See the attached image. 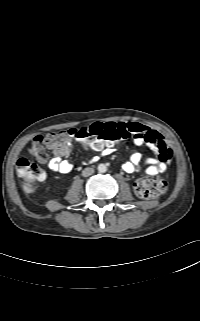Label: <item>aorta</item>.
<instances>
[{
	"mask_svg": "<svg viewBox=\"0 0 200 321\" xmlns=\"http://www.w3.org/2000/svg\"><path fill=\"white\" fill-rule=\"evenodd\" d=\"M97 169L100 173H105L107 171V167L105 164H99Z\"/></svg>",
	"mask_w": 200,
	"mask_h": 321,
	"instance_id": "aorta-1",
	"label": "aorta"
}]
</instances>
